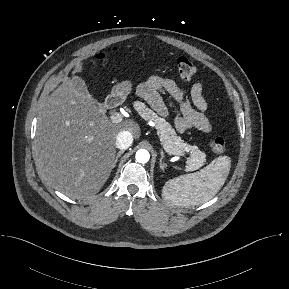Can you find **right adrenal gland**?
Segmentation results:
<instances>
[{"mask_svg":"<svg viewBox=\"0 0 289 289\" xmlns=\"http://www.w3.org/2000/svg\"><path fill=\"white\" fill-rule=\"evenodd\" d=\"M124 153L123 150L119 151L116 155V158H115V161H114V164H113V168L116 166V163L118 161V158Z\"/></svg>","mask_w":289,"mask_h":289,"instance_id":"2a0ac1e0","label":"right adrenal gland"}]
</instances>
